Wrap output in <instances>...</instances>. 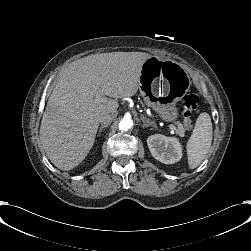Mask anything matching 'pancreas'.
I'll use <instances>...</instances> for the list:
<instances>
[{"label": "pancreas", "instance_id": "cf45deb5", "mask_svg": "<svg viewBox=\"0 0 251 251\" xmlns=\"http://www.w3.org/2000/svg\"><path fill=\"white\" fill-rule=\"evenodd\" d=\"M153 124V122H152ZM189 129V127H187L185 124H181V123H177V128L175 130L176 134H178L179 136L183 137L185 134V131Z\"/></svg>", "mask_w": 251, "mask_h": 251}]
</instances>
